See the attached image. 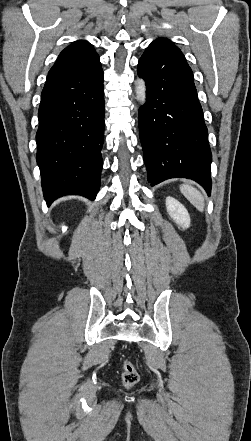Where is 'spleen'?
<instances>
[{"mask_svg": "<svg viewBox=\"0 0 251 441\" xmlns=\"http://www.w3.org/2000/svg\"><path fill=\"white\" fill-rule=\"evenodd\" d=\"M180 191L190 201V203H192L197 208V210L203 212L204 198L196 188L186 184H182L180 185Z\"/></svg>", "mask_w": 251, "mask_h": 441, "instance_id": "1", "label": "spleen"}]
</instances>
